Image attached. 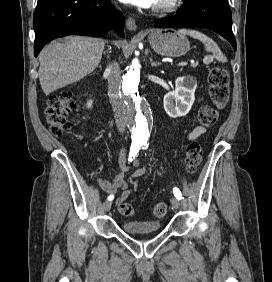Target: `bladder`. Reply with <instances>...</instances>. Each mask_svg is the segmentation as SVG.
Here are the masks:
<instances>
[{"label":"bladder","mask_w":272,"mask_h":282,"mask_svg":"<svg viewBox=\"0 0 272 282\" xmlns=\"http://www.w3.org/2000/svg\"><path fill=\"white\" fill-rule=\"evenodd\" d=\"M161 229V223L157 221H127L122 224V230L131 234L153 233Z\"/></svg>","instance_id":"1"}]
</instances>
